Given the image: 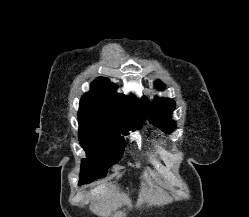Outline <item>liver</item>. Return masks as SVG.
<instances>
[{
    "instance_id": "6515ba94",
    "label": "liver",
    "mask_w": 249,
    "mask_h": 217,
    "mask_svg": "<svg viewBox=\"0 0 249 217\" xmlns=\"http://www.w3.org/2000/svg\"><path fill=\"white\" fill-rule=\"evenodd\" d=\"M106 189H107L106 186H105V185H102V186H99V187L93 189V190L91 191V194H92L93 196H96V195H99V194H104L105 191H106Z\"/></svg>"
}]
</instances>
